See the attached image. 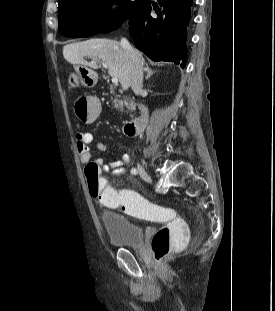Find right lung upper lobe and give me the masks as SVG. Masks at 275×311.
<instances>
[{
  "label": "right lung upper lobe",
  "instance_id": "right-lung-upper-lobe-1",
  "mask_svg": "<svg viewBox=\"0 0 275 311\" xmlns=\"http://www.w3.org/2000/svg\"><path fill=\"white\" fill-rule=\"evenodd\" d=\"M67 1H69V0H57L58 6H59L60 4H62V3H64V2H67Z\"/></svg>",
  "mask_w": 275,
  "mask_h": 311
}]
</instances>
